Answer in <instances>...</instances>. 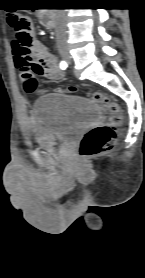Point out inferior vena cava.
<instances>
[{
  "label": "inferior vena cava",
  "mask_w": 145,
  "mask_h": 278,
  "mask_svg": "<svg viewBox=\"0 0 145 278\" xmlns=\"http://www.w3.org/2000/svg\"><path fill=\"white\" fill-rule=\"evenodd\" d=\"M56 39L59 44L67 40L66 15L62 9L57 12Z\"/></svg>",
  "instance_id": "1"
}]
</instances>
